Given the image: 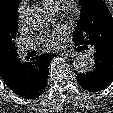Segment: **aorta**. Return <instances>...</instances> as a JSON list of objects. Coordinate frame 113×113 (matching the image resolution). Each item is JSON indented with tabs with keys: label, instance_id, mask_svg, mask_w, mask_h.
I'll list each match as a JSON object with an SVG mask.
<instances>
[{
	"label": "aorta",
	"instance_id": "762f6f07",
	"mask_svg": "<svg viewBox=\"0 0 113 113\" xmlns=\"http://www.w3.org/2000/svg\"><path fill=\"white\" fill-rule=\"evenodd\" d=\"M33 19L46 24L49 20L48 14L42 9H31L28 13ZM95 65L94 58L89 54H80L73 60L74 69L80 74H86L93 70Z\"/></svg>",
	"mask_w": 113,
	"mask_h": 113
}]
</instances>
